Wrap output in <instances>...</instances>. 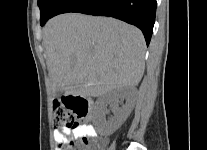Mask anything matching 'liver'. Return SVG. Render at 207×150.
<instances>
[{"label":"liver","instance_id":"6515ba94","mask_svg":"<svg viewBox=\"0 0 207 150\" xmlns=\"http://www.w3.org/2000/svg\"><path fill=\"white\" fill-rule=\"evenodd\" d=\"M43 46L53 92L99 97L142 79L145 40L142 32L106 17L67 13L48 21Z\"/></svg>","mask_w":207,"mask_h":150}]
</instances>
